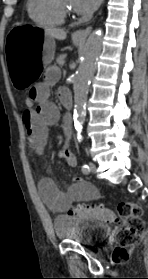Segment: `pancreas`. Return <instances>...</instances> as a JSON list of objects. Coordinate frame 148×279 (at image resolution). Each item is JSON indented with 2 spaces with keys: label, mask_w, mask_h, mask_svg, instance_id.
Masks as SVG:
<instances>
[{
  "label": "pancreas",
  "mask_w": 148,
  "mask_h": 279,
  "mask_svg": "<svg viewBox=\"0 0 148 279\" xmlns=\"http://www.w3.org/2000/svg\"><path fill=\"white\" fill-rule=\"evenodd\" d=\"M66 55L62 54L57 58V63L58 65L62 66L64 64V59H65Z\"/></svg>",
  "instance_id": "obj_1"
}]
</instances>
